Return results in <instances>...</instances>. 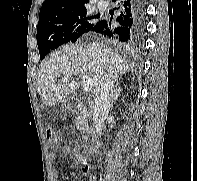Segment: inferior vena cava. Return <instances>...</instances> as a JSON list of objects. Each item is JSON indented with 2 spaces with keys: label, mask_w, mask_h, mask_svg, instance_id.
Instances as JSON below:
<instances>
[{
  "label": "inferior vena cava",
  "mask_w": 197,
  "mask_h": 181,
  "mask_svg": "<svg viewBox=\"0 0 197 181\" xmlns=\"http://www.w3.org/2000/svg\"><path fill=\"white\" fill-rule=\"evenodd\" d=\"M114 79L110 76H105L101 83L100 89L95 98V106L93 110L94 133L97 136L102 134L104 121L109 114L111 102L114 96Z\"/></svg>",
  "instance_id": "1"
}]
</instances>
